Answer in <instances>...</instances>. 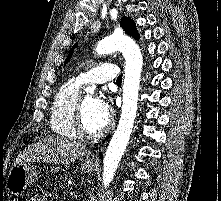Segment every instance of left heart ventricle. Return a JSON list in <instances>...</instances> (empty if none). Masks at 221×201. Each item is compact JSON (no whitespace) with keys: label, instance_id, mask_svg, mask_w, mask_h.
<instances>
[{"label":"left heart ventricle","instance_id":"left-heart-ventricle-1","mask_svg":"<svg viewBox=\"0 0 221 201\" xmlns=\"http://www.w3.org/2000/svg\"><path fill=\"white\" fill-rule=\"evenodd\" d=\"M83 121L86 130L90 133L99 132L108 122L100 111L98 101L93 97L83 99Z\"/></svg>","mask_w":221,"mask_h":201}]
</instances>
